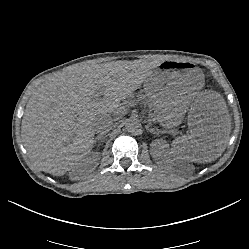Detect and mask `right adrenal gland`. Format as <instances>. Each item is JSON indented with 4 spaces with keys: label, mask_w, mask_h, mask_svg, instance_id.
<instances>
[{
    "label": "right adrenal gland",
    "mask_w": 249,
    "mask_h": 249,
    "mask_svg": "<svg viewBox=\"0 0 249 249\" xmlns=\"http://www.w3.org/2000/svg\"><path fill=\"white\" fill-rule=\"evenodd\" d=\"M105 134L103 133H100L98 134L95 138H94V144H93V147L96 145V143L101 140L103 137H104Z\"/></svg>",
    "instance_id": "1"
}]
</instances>
